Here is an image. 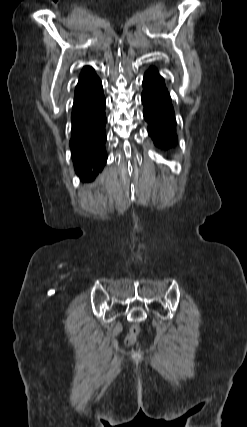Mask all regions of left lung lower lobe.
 Instances as JSON below:
<instances>
[{
  "mask_svg": "<svg viewBox=\"0 0 247 427\" xmlns=\"http://www.w3.org/2000/svg\"><path fill=\"white\" fill-rule=\"evenodd\" d=\"M141 99L144 105L143 115L148 122V133L154 144L163 150L177 145L176 120L171 98L163 77L154 67L144 75Z\"/></svg>",
  "mask_w": 247,
  "mask_h": 427,
  "instance_id": "left-lung-lower-lobe-1",
  "label": "left lung lower lobe"
}]
</instances>
